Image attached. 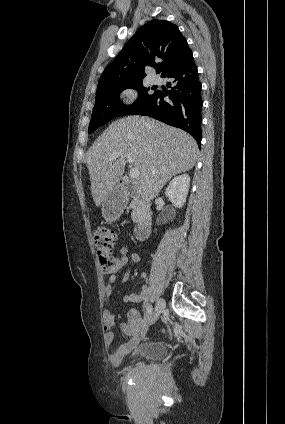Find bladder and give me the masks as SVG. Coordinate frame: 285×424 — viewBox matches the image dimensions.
Returning <instances> with one entry per match:
<instances>
[{
	"label": "bladder",
	"instance_id": "1",
	"mask_svg": "<svg viewBox=\"0 0 285 424\" xmlns=\"http://www.w3.org/2000/svg\"><path fill=\"white\" fill-rule=\"evenodd\" d=\"M166 346L161 342H148L139 345L134 354L144 360L154 361L161 359L166 354Z\"/></svg>",
	"mask_w": 285,
	"mask_h": 424
}]
</instances>
